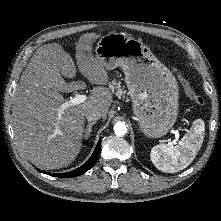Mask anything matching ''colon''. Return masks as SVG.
Here are the masks:
<instances>
[{"label": "colon", "mask_w": 221, "mask_h": 221, "mask_svg": "<svg viewBox=\"0 0 221 221\" xmlns=\"http://www.w3.org/2000/svg\"><path fill=\"white\" fill-rule=\"evenodd\" d=\"M178 79L184 89V92L186 93V95L193 100L194 102H196L199 105H203L204 104V100L201 96H199L197 93H195L191 87L189 86L188 82L184 79V77L181 74H178Z\"/></svg>", "instance_id": "obj_1"}]
</instances>
